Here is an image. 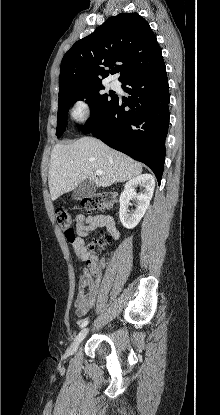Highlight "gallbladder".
<instances>
[{
    "label": "gallbladder",
    "instance_id": "1",
    "mask_svg": "<svg viewBox=\"0 0 220 415\" xmlns=\"http://www.w3.org/2000/svg\"><path fill=\"white\" fill-rule=\"evenodd\" d=\"M97 189L96 184L90 179H85L74 190L72 197L76 200L89 197L95 193Z\"/></svg>",
    "mask_w": 220,
    "mask_h": 415
}]
</instances>
